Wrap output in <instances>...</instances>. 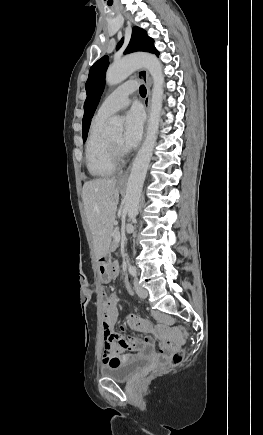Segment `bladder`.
I'll return each instance as SVG.
<instances>
[{
    "mask_svg": "<svg viewBox=\"0 0 263 435\" xmlns=\"http://www.w3.org/2000/svg\"><path fill=\"white\" fill-rule=\"evenodd\" d=\"M147 363L148 360L144 357H134L116 365L105 364L101 367L100 374L103 377L124 382L131 379Z\"/></svg>",
    "mask_w": 263,
    "mask_h": 435,
    "instance_id": "1",
    "label": "bladder"
}]
</instances>
